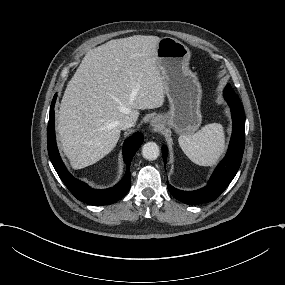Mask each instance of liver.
<instances>
[{
    "mask_svg": "<svg viewBox=\"0 0 285 285\" xmlns=\"http://www.w3.org/2000/svg\"><path fill=\"white\" fill-rule=\"evenodd\" d=\"M156 36H132L90 50L64 93L58 131L75 169L93 165L116 146L118 122L165 103Z\"/></svg>",
    "mask_w": 285,
    "mask_h": 285,
    "instance_id": "liver-1",
    "label": "liver"
}]
</instances>
